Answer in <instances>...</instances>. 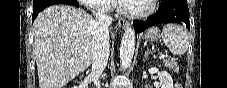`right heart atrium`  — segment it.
Wrapping results in <instances>:
<instances>
[{
    "label": "right heart atrium",
    "instance_id": "1",
    "mask_svg": "<svg viewBox=\"0 0 227 88\" xmlns=\"http://www.w3.org/2000/svg\"><path fill=\"white\" fill-rule=\"evenodd\" d=\"M81 4L89 11L103 14L111 9L110 0H80Z\"/></svg>",
    "mask_w": 227,
    "mask_h": 88
}]
</instances>
